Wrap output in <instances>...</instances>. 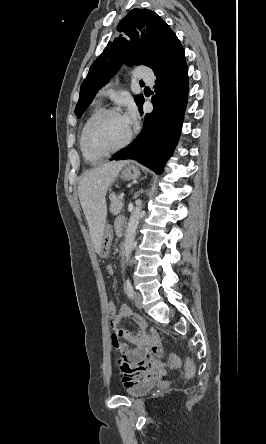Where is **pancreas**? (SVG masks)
I'll list each match as a JSON object with an SVG mask.
<instances>
[{
    "mask_svg": "<svg viewBox=\"0 0 266 444\" xmlns=\"http://www.w3.org/2000/svg\"><path fill=\"white\" fill-rule=\"evenodd\" d=\"M110 201H111L110 212L113 215H118L124 206L123 201L120 198H118L115 194L110 195Z\"/></svg>",
    "mask_w": 266,
    "mask_h": 444,
    "instance_id": "obj_1",
    "label": "pancreas"
}]
</instances>
